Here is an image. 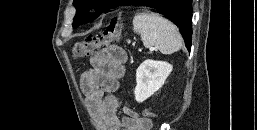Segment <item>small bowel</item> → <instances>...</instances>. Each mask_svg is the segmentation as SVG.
<instances>
[{
    "label": "small bowel",
    "instance_id": "1",
    "mask_svg": "<svg viewBox=\"0 0 257 130\" xmlns=\"http://www.w3.org/2000/svg\"><path fill=\"white\" fill-rule=\"evenodd\" d=\"M126 53L117 46L96 52L91 68L80 78V88L102 130H149L151 121L140 118L129 107L123 108L124 116H118L119 103L114 93L124 76Z\"/></svg>",
    "mask_w": 257,
    "mask_h": 130
}]
</instances>
